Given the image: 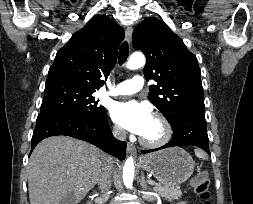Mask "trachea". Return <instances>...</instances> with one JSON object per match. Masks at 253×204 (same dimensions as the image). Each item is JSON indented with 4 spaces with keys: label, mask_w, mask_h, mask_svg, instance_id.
Here are the masks:
<instances>
[{
    "label": "trachea",
    "mask_w": 253,
    "mask_h": 204,
    "mask_svg": "<svg viewBox=\"0 0 253 204\" xmlns=\"http://www.w3.org/2000/svg\"><path fill=\"white\" fill-rule=\"evenodd\" d=\"M128 54H129V46H128V43L125 41L121 44L120 50H119L118 60H119L120 65L125 63L128 57Z\"/></svg>",
    "instance_id": "trachea-1"
}]
</instances>
